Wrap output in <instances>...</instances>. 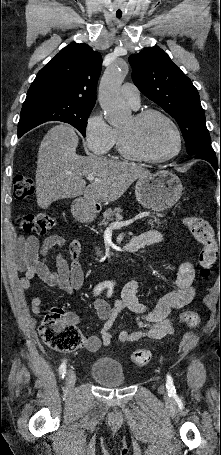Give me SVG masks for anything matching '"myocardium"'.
I'll list each match as a JSON object with an SVG mask.
<instances>
[{"mask_svg": "<svg viewBox=\"0 0 221 455\" xmlns=\"http://www.w3.org/2000/svg\"><path fill=\"white\" fill-rule=\"evenodd\" d=\"M151 116H159L162 119H164L169 126L171 127L175 138H176V147L174 151L164 157H150L143 155L139 152H137L130 144L129 142V137L128 135L122 131L121 129L119 130V150L124 155L125 157L134 160V161H139V162H144V163H152V164H159V163H164L167 161L172 160L176 156L179 155V153L182 150V135L180 132V129L176 122L165 112L159 109H154V108H148L141 110L133 115V119L136 123H140L147 118Z\"/></svg>", "mask_w": 221, "mask_h": 455, "instance_id": "1", "label": "myocardium"}]
</instances>
